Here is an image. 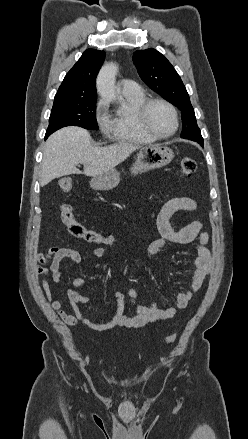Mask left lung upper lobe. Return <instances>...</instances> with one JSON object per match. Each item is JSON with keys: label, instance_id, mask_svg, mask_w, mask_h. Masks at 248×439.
Here are the masks:
<instances>
[{"label": "left lung upper lobe", "instance_id": "obj_1", "mask_svg": "<svg viewBox=\"0 0 248 439\" xmlns=\"http://www.w3.org/2000/svg\"><path fill=\"white\" fill-rule=\"evenodd\" d=\"M134 64L141 79L161 97L177 106L182 112L183 130L181 137L198 142L203 146V138L197 126L194 109L187 90L170 62L157 50H138L133 56Z\"/></svg>", "mask_w": 248, "mask_h": 439}]
</instances>
